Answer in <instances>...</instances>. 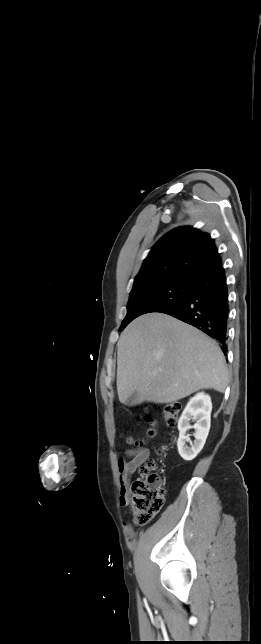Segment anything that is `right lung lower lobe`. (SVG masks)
Segmentation results:
<instances>
[{
    "mask_svg": "<svg viewBox=\"0 0 261 644\" xmlns=\"http://www.w3.org/2000/svg\"><path fill=\"white\" fill-rule=\"evenodd\" d=\"M193 283L181 302L160 312L200 329L217 340L226 353L229 301L225 270L219 266Z\"/></svg>",
    "mask_w": 261,
    "mask_h": 644,
    "instance_id": "obj_1",
    "label": "right lung lower lobe"
}]
</instances>
